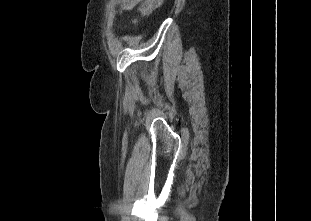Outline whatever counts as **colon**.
<instances>
[{
    "label": "colon",
    "mask_w": 311,
    "mask_h": 221,
    "mask_svg": "<svg viewBox=\"0 0 311 221\" xmlns=\"http://www.w3.org/2000/svg\"><path fill=\"white\" fill-rule=\"evenodd\" d=\"M164 0H142L139 6V15L141 17H147L152 14L156 9H158ZM137 2L132 0L127 1H120L119 5L117 6L118 12H127L128 8H136ZM133 24H138V19L133 20Z\"/></svg>",
    "instance_id": "5ec220e1"
}]
</instances>
